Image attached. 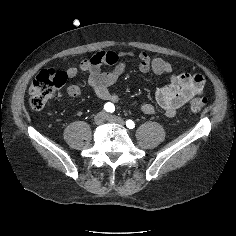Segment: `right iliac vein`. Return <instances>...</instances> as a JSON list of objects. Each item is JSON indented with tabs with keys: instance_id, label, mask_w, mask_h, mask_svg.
I'll return each instance as SVG.
<instances>
[{
	"instance_id": "1",
	"label": "right iliac vein",
	"mask_w": 236,
	"mask_h": 236,
	"mask_svg": "<svg viewBox=\"0 0 236 236\" xmlns=\"http://www.w3.org/2000/svg\"><path fill=\"white\" fill-rule=\"evenodd\" d=\"M105 119H106V114H105V112H99V113H97V114L95 115V117H94V123H95L96 125H101V124L104 123Z\"/></svg>"
}]
</instances>
